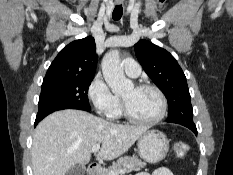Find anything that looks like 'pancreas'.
Returning <instances> with one entry per match:
<instances>
[{
  "mask_svg": "<svg viewBox=\"0 0 233 175\" xmlns=\"http://www.w3.org/2000/svg\"><path fill=\"white\" fill-rule=\"evenodd\" d=\"M145 166L146 163L136 157L124 156L119 158L117 162H114L108 169L103 170L100 175H110L112 171L117 172L124 169L127 171H138Z\"/></svg>",
  "mask_w": 233,
  "mask_h": 175,
  "instance_id": "cf45deb5",
  "label": "pancreas"
}]
</instances>
